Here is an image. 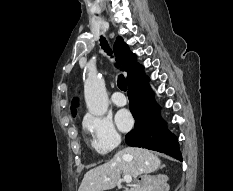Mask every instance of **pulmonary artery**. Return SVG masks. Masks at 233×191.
Here are the masks:
<instances>
[{"instance_id": "e3ab8cb5", "label": "pulmonary artery", "mask_w": 233, "mask_h": 191, "mask_svg": "<svg viewBox=\"0 0 233 191\" xmlns=\"http://www.w3.org/2000/svg\"><path fill=\"white\" fill-rule=\"evenodd\" d=\"M112 101L117 106H124L127 103L126 97L119 91H116L112 94Z\"/></svg>"}]
</instances>
